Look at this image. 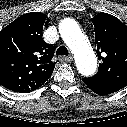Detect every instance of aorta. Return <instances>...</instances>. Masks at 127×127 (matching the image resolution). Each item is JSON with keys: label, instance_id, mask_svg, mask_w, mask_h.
I'll return each mask as SVG.
<instances>
[{"label": "aorta", "instance_id": "1", "mask_svg": "<svg viewBox=\"0 0 127 127\" xmlns=\"http://www.w3.org/2000/svg\"><path fill=\"white\" fill-rule=\"evenodd\" d=\"M59 31L65 43L74 53L78 71L83 76L93 75L97 68V58L77 22L70 18L64 19L59 25Z\"/></svg>", "mask_w": 127, "mask_h": 127}]
</instances>
